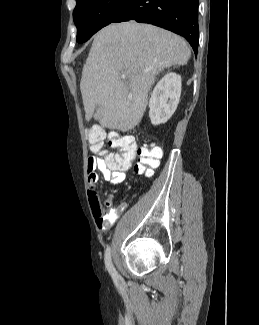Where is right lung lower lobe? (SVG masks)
<instances>
[{
    "mask_svg": "<svg viewBox=\"0 0 259 325\" xmlns=\"http://www.w3.org/2000/svg\"><path fill=\"white\" fill-rule=\"evenodd\" d=\"M198 4L199 0H126L112 22L135 20L165 28L183 36L196 53Z\"/></svg>",
    "mask_w": 259,
    "mask_h": 325,
    "instance_id": "right-lung-lower-lobe-1",
    "label": "right lung lower lobe"
}]
</instances>
